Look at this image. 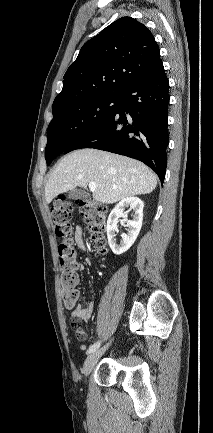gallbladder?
I'll list each match as a JSON object with an SVG mask.
<instances>
[{
	"instance_id": "1",
	"label": "gallbladder",
	"mask_w": 213,
	"mask_h": 433,
	"mask_svg": "<svg viewBox=\"0 0 213 433\" xmlns=\"http://www.w3.org/2000/svg\"><path fill=\"white\" fill-rule=\"evenodd\" d=\"M86 197V193L82 190L73 189L68 191V198L70 199H82Z\"/></svg>"
}]
</instances>
